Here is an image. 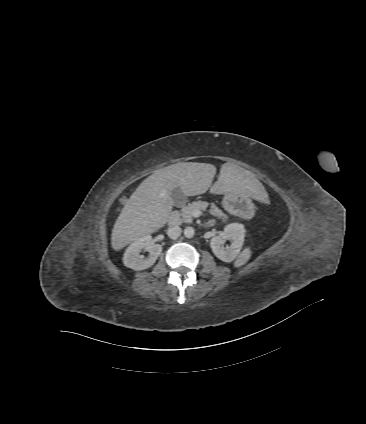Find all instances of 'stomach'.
<instances>
[{
	"label": "stomach",
	"mask_w": 366,
	"mask_h": 424,
	"mask_svg": "<svg viewBox=\"0 0 366 424\" xmlns=\"http://www.w3.org/2000/svg\"><path fill=\"white\" fill-rule=\"evenodd\" d=\"M238 203H245L249 206V208L254 207L250 196L233 194V193H230V194L225 193V196L223 199V207L229 214H232V215L239 214V211L235 206Z\"/></svg>",
	"instance_id": "1"
}]
</instances>
